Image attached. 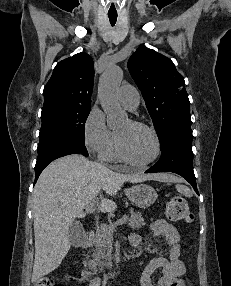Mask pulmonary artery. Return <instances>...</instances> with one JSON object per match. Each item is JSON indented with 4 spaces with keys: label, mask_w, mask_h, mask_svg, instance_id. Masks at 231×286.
Returning a JSON list of instances; mask_svg holds the SVG:
<instances>
[{
    "label": "pulmonary artery",
    "mask_w": 231,
    "mask_h": 286,
    "mask_svg": "<svg viewBox=\"0 0 231 286\" xmlns=\"http://www.w3.org/2000/svg\"><path fill=\"white\" fill-rule=\"evenodd\" d=\"M118 99L120 103L130 111L136 110L140 102L138 91L131 85H123L120 88Z\"/></svg>",
    "instance_id": "e3ab8cb5"
}]
</instances>
